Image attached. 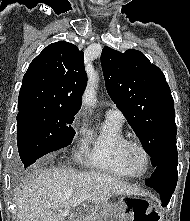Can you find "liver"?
I'll list each match as a JSON object with an SVG mask.
<instances>
[{"label": "liver", "mask_w": 190, "mask_h": 221, "mask_svg": "<svg viewBox=\"0 0 190 221\" xmlns=\"http://www.w3.org/2000/svg\"><path fill=\"white\" fill-rule=\"evenodd\" d=\"M139 193L138 188L99 172L37 168L18 190L17 221H66L59 215L85 194H90L88 204L98 208L113 195Z\"/></svg>", "instance_id": "1"}]
</instances>
